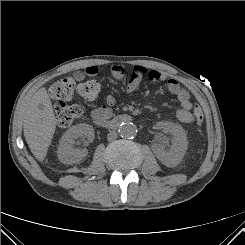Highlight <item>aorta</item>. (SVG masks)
<instances>
[{"label":"aorta","mask_w":245,"mask_h":245,"mask_svg":"<svg viewBox=\"0 0 245 245\" xmlns=\"http://www.w3.org/2000/svg\"><path fill=\"white\" fill-rule=\"evenodd\" d=\"M118 132L124 138H133L137 134V127L132 123H123L120 125Z\"/></svg>","instance_id":"obj_1"}]
</instances>
